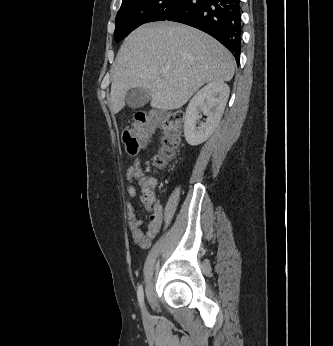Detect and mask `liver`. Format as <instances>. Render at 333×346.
Returning a JSON list of instances; mask_svg holds the SVG:
<instances>
[{
    "label": "liver",
    "instance_id": "obj_1",
    "mask_svg": "<svg viewBox=\"0 0 333 346\" xmlns=\"http://www.w3.org/2000/svg\"><path fill=\"white\" fill-rule=\"evenodd\" d=\"M112 68V113L124 108L125 94L134 87L149 89L151 107L165 111L181 108L205 83L230 81L235 60L206 33L180 23L160 22L134 30ZM162 68L168 69L166 75Z\"/></svg>",
    "mask_w": 333,
    "mask_h": 346
}]
</instances>
